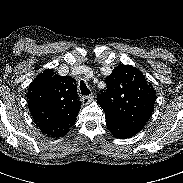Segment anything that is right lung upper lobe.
Returning <instances> with one entry per match:
<instances>
[{"label": "right lung upper lobe", "mask_w": 183, "mask_h": 183, "mask_svg": "<svg viewBox=\"0 0 183 183\" xmlns=\"http://www.w3.org/2000/svg\"><path fill=\"white\" fill-rule=\"evenodd\" d=\"M27 99L34 123L51 137L67 134L81 109L76 81L70 76L54 75L53 69L43 71L33 80Z\"/></svg>", "instance_id": "1"}]
</instances>
